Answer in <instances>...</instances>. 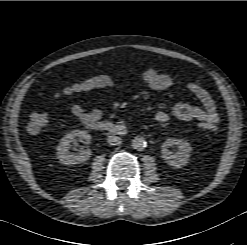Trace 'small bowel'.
<instances>
[{"instance_id":"obj_1","label":"small bowel","mask_w":247,"mask_h":245,"mask_svg":"<svg viewBox=\"0 0 247 245\" xmlns=\"http://www.w3.org/2000/svg\"><path fill=\"white\" fill-rule=\"evenodd\" d=\"M141 80L153 91L161 92L172 87L173 79L170 75L159 72L155 68H147L141 73ZM115 85V80L112 78L109 88ZM187 90L197 98L201 106L192 105L189 103H176L169 111H157L155 113L156 121L165 123L171 118H176L180 121L209 122L217 125L220 121L217 112L216 104L210 93L195 82L186 83ZM72 114L78 118L83 124L89 125L101 118L102 112L98 105L94 102L91 109L87 110L80 104H75L71 108Z\"/></svg>"}]
</instances>
